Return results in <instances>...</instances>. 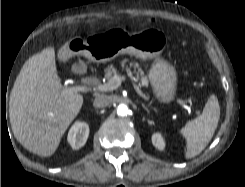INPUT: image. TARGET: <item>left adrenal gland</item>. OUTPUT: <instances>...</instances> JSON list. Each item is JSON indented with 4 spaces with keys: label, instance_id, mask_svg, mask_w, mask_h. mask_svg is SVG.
<instances>
[{
    "label": "left adrenal gland",
    "instance_id": "1",
    "mask_svg": "<svg viewBox=\"0 0 245 187\" xmlns=\"http://www.w3.org/2000/svg\"><path fill=\"white\" fill-rule=\"evenodd\" d=\"M142 107L147 111V113H149L148 109L144 105H142Z\"/></svg>",
    "mask_w": 245,
    "mask_h": 187
}]
</instances>
